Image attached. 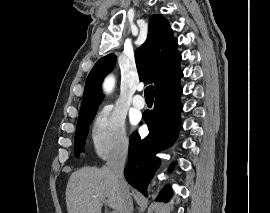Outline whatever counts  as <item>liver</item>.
Listing matches in <instances>:
<instances>
[{
  "instance_id": "liver-1",
  "label": "liver",
  "mask_w": 270,
  "mask_h": 213,
  "mask_svg": "<svg viewBox=\"0 0 270 213\" xmlns=\"http://www.w3.org/2000/svg\"><path fill=\"white\" fill-rule=\"evenodd\" d=\"M65 195L68 213H101L102 199L121 213V192L107 167H84L73 172Z\"/></svg>"
}]
</instances>
